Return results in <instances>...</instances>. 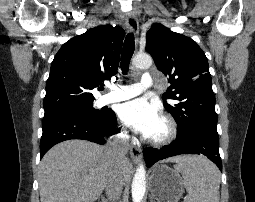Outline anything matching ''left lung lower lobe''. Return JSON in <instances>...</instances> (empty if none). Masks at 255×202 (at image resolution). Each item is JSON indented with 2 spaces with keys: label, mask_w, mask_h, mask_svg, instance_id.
<instances>
[{
  "label": "left lung lower lobe",
  "mask_w": 255,
  "mask_h": 202,
  "mask_svg": "<svg viewBox=\"0 0 255 202\" xmlns=\"http://www.w3.org/2000/svg\"><path fill=\"white\" fill-rule=\"evenodd\" d=\"M180 154L204 155L222 171L218 133L200 131L185 136H177L174 143L168 146L162 148L149 147L144 151L147 167L159 160Z\"/></svg>",
  "instance_id": "1"
}]
</instances>
